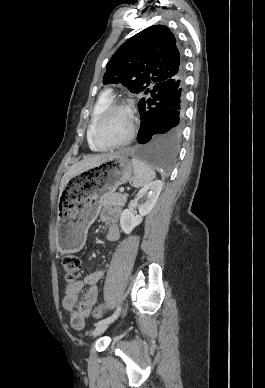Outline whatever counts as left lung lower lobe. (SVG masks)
Returning <instances> with one entry per match:
<instances>
[{
  "mask_svg": "<svg viewBox=\"0 0 265 388\" xmlns=\"http://www.w3.org/2000/svg\"><path fill=\"white\" fill-rule=\"evenodd\" d=\"M138 102L140 129L133 153L163 171L171 170L178 151L185 111L184 73L160 83Z\"/></svg>",
  "mask_w": 265,
  "mask_h": 388,
  "instance_id": "left-lung-lower-lobe-1",
  "label": "left lung lower lobe"
}]
</instances>
